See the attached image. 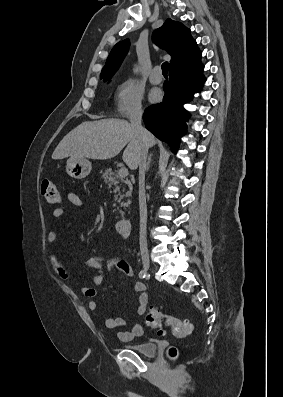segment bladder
Segmentation results:
<instances>
[{"mask_svg":"<svg viewBox=\"0 0 283 397\" xmlns=\"http://www.w3.org/2000/svg\"><path fill=\"white\" fill-rule=\"evenodd\" d=\"M158 347L159 345L157 341H148L128 346L130 350L144 356H153L154 354H156Z\"/></svg>","mask_w":283,"mask_h":397,"instance_id":"obj_1","label":"bladder"}]
</instances>
